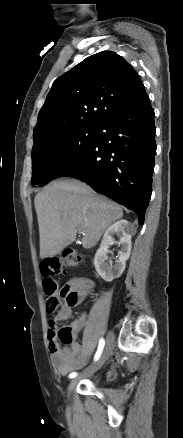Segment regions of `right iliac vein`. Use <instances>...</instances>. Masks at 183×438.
I'll list each match as a JSON object with an SVG mask.
<instances>
[{
    "mask_svg": "<svg viewBox=\"0 0 183 438\" xmlns=\"http://www.w3.org/2000/svg\"><path fill=\"white\" fill-rule=\"evenodd\" d=\"M112 348H113V335H110V338L107 341L106 347L103 350L100 358L97 360V362L92 365L91 367H89L85 373L84 376L89 375L91 373H94L95 371H97L98 369H100L104 363L108 360L111 352H112ZM79 377L78 378H74L70 381L68 388H67V393L68 396H70V394L72 393V391L74 390L75 386L77 385L78 381H79Z\"/></svg>",
    "mask_w": 183,
    "mask_h": 438,
    "instance_id": "1",
    "label": "right iliac vein"
}]
</instances>
